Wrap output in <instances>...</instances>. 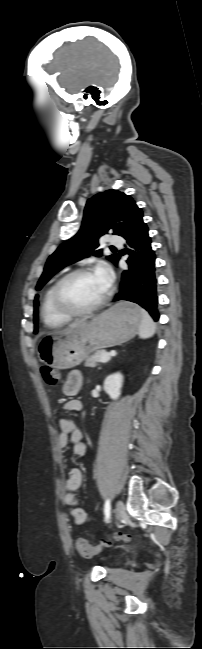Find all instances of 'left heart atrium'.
<instances>
[{
	"label": "left heart atrium",
	"instance_id": "1",
	"mask_svg": "<svg viewBox=\"0 0 202 649\" xmlns=\"http://www.w3.org/2000/svg\"><path fill=\"white\" fill-rule=\"evenodd\" d=\"M95 274L104 283V285L107 288L110 286L111 281H112V271H111L110 267L107 264L101 263L97 267V269L95 271Z\"/></svg>",
	"mask_w": 202,
	"mask_h": 649
}]
</instances>
